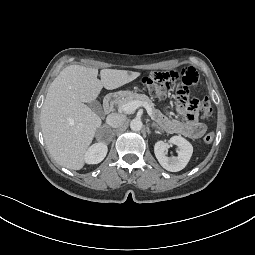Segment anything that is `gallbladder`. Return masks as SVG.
I'll return each instance as SVG.
<instances>
[{"instance_id":"obj_1","label":"gallbladder","mask_w":255,"mask_h":255,"mask_svg":"<svg viewBox=\"0 0 255 255\" xmlns=\"http://www.w3.org/2000/svg\"><path fill=\"white\" fill-rule=\"evenodd\" d=\"M89 107L94 111L95 113L101 115L102 114V106L98 101H93L91 103H88Z\"/></svg>"}]
</instances>
